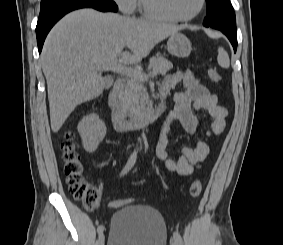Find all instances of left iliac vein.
<instances>
[{
	"instance_id": "obj_1",
	"label": "left iliac vein",
	"mask_w": 283,
	"mask_h": 245,
	"mask_svg": "<svg viewBox=\"0 0 283 245\" xmlns=\"http://www.w3.org/2000/svg\"><path fill=\"white\" fill-rule=\"evenodd\" d=\"M171 245H178V243L175 240H172Z\"/></svg>"
}]
</instances>
